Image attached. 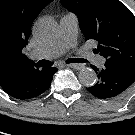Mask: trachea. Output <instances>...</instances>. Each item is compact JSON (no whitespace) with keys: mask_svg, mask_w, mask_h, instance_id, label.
I'll use <instances>...</instances> for the list:
<instances>
[{"mask_svg":"<svg viewBox=\"0 0 135 135\" xmlns=\"http://www.w3.org/2000/svg\"><path fill=\"white\" fill-rule=\"evenodd\" d=\"M84 62H86V60L83 58H71L66 61V63H68V64L69 63H84ZM37 66L38 67H50V66H52V63L47 60H40L37 63Z\"/></svg>","mask_w":135,"mask_h":135,"instance_id":"obj_1","label":"trachea"}]
</instances>
